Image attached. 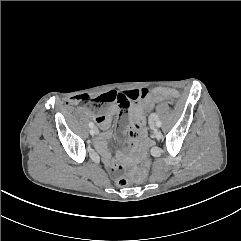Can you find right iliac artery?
Returning <instances> with one entry per match:
<instances>
[{
    "label": "right iliac artery",
    "mask_w": 241,
    "mask_h": 241,
    "mask_svg": "<svg viewBox=\"0 0 241 241\" xmlns=\"http://www.w3.org/2000/svg\"><path fill=\"white\" fill-rule=\"evenodd\" d=\"M89 127L90 128H93L94 127V124L92 122L89 123Z\"/></svg>",
    "instance_id": "right-iliac-artery-1"
}]
</instances>
